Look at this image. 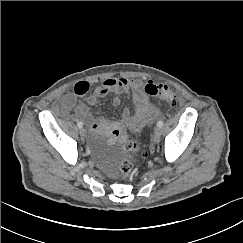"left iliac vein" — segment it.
<instances>
[{
    "label": "left iliac vein",
    "instance_id": "left-iliac-vein-1",
    "mask_svg": "<svg viewBox=\"0 0 243 243\" xmlns=\"http://www.w3.org/2000/svg\"><path fill=\"white\" fill-rule=\"evenodd\" d=\"M161 133H162L161 127H156L154 129V135H153V138H152L153 141H155V142L159 141Z\"/></svg>",
    "mask_w": 243,
    "mask_h": 243
}]
</instances>
